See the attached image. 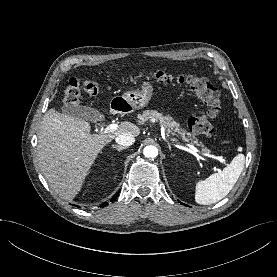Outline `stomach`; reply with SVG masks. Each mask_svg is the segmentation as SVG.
Instances as JSON below:
<instances>
[{
  "label": "stomach",
  "instance_id": "1",
  "mask_svg": "<svg viewBox=\"0 0 277 277\" xmlns=\"http://www.w3.org/2000/svg\"><path fill=\"white\" fill-rule=\"evenodd\" d=\"M152 95L153 82H143L140 90L127 91L122 96L114 97L110 102V106L114 111L130 113L145 107L151 100Z\"/></svg>",
  "mask_w": 277,
  "mask_h": 277
}]
</instances>
